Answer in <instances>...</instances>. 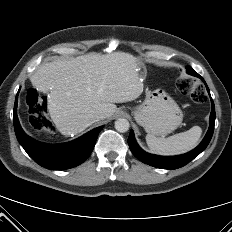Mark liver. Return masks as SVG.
<instances>
[{"label":"liver","instance_id":"liver-1","mask_svg":"<svg viewBox=\"0 0 232 232\" xmlns=\"http://www.w3.org/2000/svg\"><path fill=\"white\" fill-rule=\"evenodd\" d=\"M141 68L129 53H88L42 64L30 80L39 91L49 92L50 117L68 136L94 123L92 114L101 115L99 120L109 118L117 110L115 103L138 98L143 92Z\"/></svg>","mask_w":232,"mask_h":232}]
</instances>
